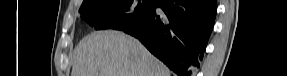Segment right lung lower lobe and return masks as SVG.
Here are the masks:
<instances>
[{
    "instance_id": "1",
    "label": "right lung lower lobe",
    "mask_w": 287,
    "mask_h": 76,
    "mask_svg": "<svg viewBox=\"0 0 287 76\" xmlns=\"http://www.w3.org/2000/svg\"><path fill=\"white\" fill-rule=\"evenodd\" d=\"M216 11V0H155L145 19L122 31L139 39L178 76H194Z\"/></svg>"
}]
</instances>
